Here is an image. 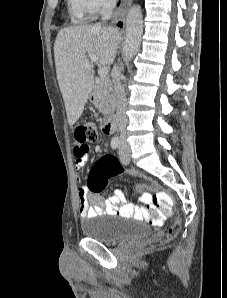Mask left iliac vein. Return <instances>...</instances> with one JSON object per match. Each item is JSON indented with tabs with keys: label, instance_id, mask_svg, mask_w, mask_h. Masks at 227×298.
<instances>
[{
	"label": "left iliac vein",
	"instance_id": "4c4485c4",
	"mask_svg": "<svg viewBox=\"0 0 227 298\" xmlns=\"http://www.w3.org/2000/svg\"><path fill=\"white\" fill-rule=\"evenodd\" d=\"M119 157L123 164H128L130 162V147L123 143L119 149Z\"/></svg>",
	"mask_w": 227,
	"mask_h": 298
}]
</instances>
